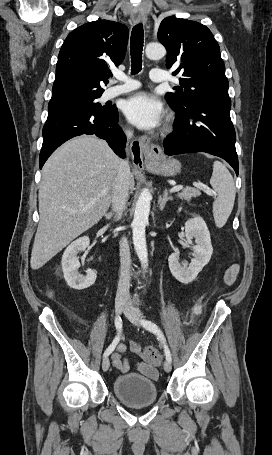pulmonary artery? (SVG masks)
<instances>
[{"label":"pulmonary artery","instance_id":"obj_1","mask_svg":"<svg viewBox=\"0 0 272 455\" xmlns=\"http://www.w3.org/2000/svg\"><path fill=\"white\" fill-rule=\"evenodd\" d=\"M117 78L119 80L123 81V84L113 86V87L107 89L103 94L104 99L108 100V99L115 98L122 94L133 91V90L137 89L139 86V84L136 81L128 78L127 76L118 75ZM150 78L155 83H161V82H165L167 80V75L161 69H153L150 73Z\"/></svg>","mask_w":272,"mask_h":455}]
</instances>
